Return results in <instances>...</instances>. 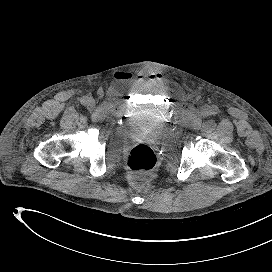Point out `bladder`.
I'll list each match as a JSON object with an SVG mask.
<instances>
[{"mask_svg":"<svg viewBox=\"0 0 272 272\" xmlns=\"http://www.w3.org/2000/svg\"><path fill=\"white\" fill-rule=\"evenodd\" d=\"M134 132L158 140L164 134V123L148 109L133 125Z\"/></svg>","mask_w":272,"mask_h":272,"instance_id":"31cf9c89","label":"bladder"}]
</instances>
